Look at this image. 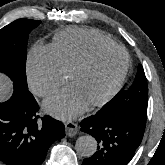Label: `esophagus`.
Instances as JSON below:
<instances>
[{
    "instance_id": "34e87169",
    "label": "esophagus",
    "mask_w": 165,
    "mask_h": 165,
    "mask_svg": "<svg viewBox=\"0 0 165 165\" xmlns=\"http://www.w3.org/2000/svg\"><path fill=\"white\" fill-rule=\"evenodd\" d=\"M64 125L68 136H73L78 132V126L76 123L68 121Z\"/></svg>"
}]
</instances>
